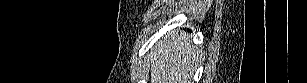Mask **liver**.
Wrapping results in <instances>:
<instances>
[{
    "instance_id": "6515ba94",
    "label": "liver",
    "mask_w": 307,
    "mask_h": 83,
    "mask_svg": "<svg viewBox=\"0 0 307 83\" xmlns=\"http://www.w3.org/2000/svg\"><path fill=\"white\" fill-rule=\"evenodd\" d=\"M197 53L186 34H168L151 50V83H190Z\"/></svg>"
}]
</instances>
